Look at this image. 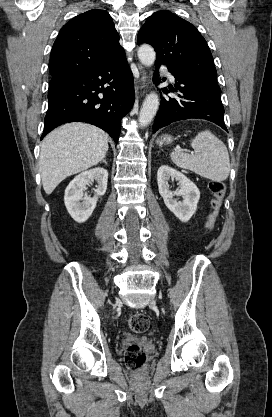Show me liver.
Returning a JSON list of instances; mask_svg holds the SVG:
<instances>
[{
	"instance_id": "1",
	"label": "liver",
	"mask_w": 272,
	"mask_h": 417,
	"mask_svg": "<svg viewBox=\"0 0 272 417\" xmlns=\"http://www.w3.org/2000/svg\"><path fill=\"white\" fill-rule=\"evenodd\" d=\"M108 134L90 124L68 123L41 143L39 170L47 195L68 176L97 165L108 151Z\"/></svg>"
}]
</instances>
